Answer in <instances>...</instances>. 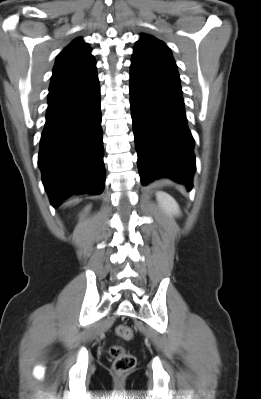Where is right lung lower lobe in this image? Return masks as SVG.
<instances>
[{
	"label": "right lung lower lobe",
	"mask_w": 261,
	"mask_h": 399,
	"mask_svg": "<svg viewBox=\"0 0 261 399\" xmlns=\"http://www.w3.org/2000/svg\"><path fill=\"white\" fill-rule=\"evenodd\" d=\"M103 155L97 73L69 86L49 90L38 164L55 208L71 194L103 192Z\"/></svg>",
	"instance_id": "right-lung-lower-lobe-1"
}]
</instances>
